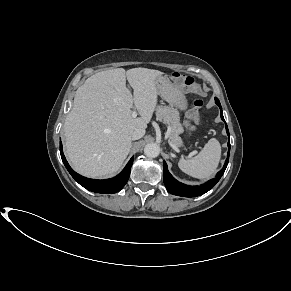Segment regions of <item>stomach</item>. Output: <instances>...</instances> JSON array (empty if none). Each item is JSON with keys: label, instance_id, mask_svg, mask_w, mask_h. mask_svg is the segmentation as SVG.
I'll return each instance as SVG.
<instances>
[{"label": "stomach", "instance_id": "obj_1", "mask_svg": "<svg viewBox=\"0 0 291 291\" xmlns=\"http://www.w3.org/2000/svg\"><path fill=\"white\" fill-rule=\"evenodd\" d=\"M156 86L159 95L167 101L170 105L185 111L188 108L187 99L182 91L180 85L172 83L166 77H158L156 79ZM189 129H192V125L189 122ZM182 143L178 147H181Z\"/></svg>", "mask_w": 291, "mask_h": 291}]
</instances>
